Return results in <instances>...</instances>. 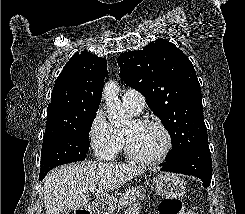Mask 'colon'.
<instances>
[{
  "instance_id": "colon-1",
  "label": "colon",
  "mask_w": 245,
  "mask_h": 214,
  "mask_svg": "<svg viewBox=\"0 0 245 214\" xmlns=\"http://www.w3.org/2000/svg\"><path fill=\"white\" fill-rule=\"evenodd\" d=\"M160 214H195L191 209H183L179 199H166L159 205Z\"/></svg>"
}]
</instances>
